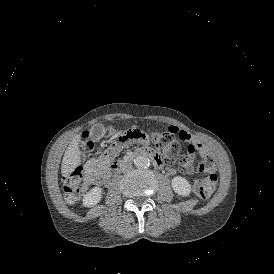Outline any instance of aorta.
<instances>
[{
	"label": "aorta",
	"mask_w": 274,
	"mask_h": 274,
	"mask_svg": "<svg viewBox=\"0 0 274 274\" xmlns=\"http://www.w3.org/2000/svg\"><path fill=\"white\" fill-rule=\"evenodd\" d=\"M134 165L139 169H146L150 165V160L148 157L140 155L134 159Z\"/></svg>",
	"instance_id": "762f6f07"
}]
</instances>
